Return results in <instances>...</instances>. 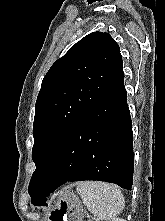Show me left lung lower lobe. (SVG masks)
Returning a JSON list of instances; mask_svg holds the SVG:
<instances>
[{
	"mask_svg": "<svg viewBox=\"0 0 165 221\" xmlns=\"http://www.w3.org/2000/svg\"><path fill=\"white\" fill-rule=\"evenodd\" d=\"M133 167L132 122L122 70L63 140L32 204L47 206L46 197L68 181L98 180L131 190Z\"/></svg>",
	"mask_w": 165,
	"mask_h": 221,
	"instance_id": "left-lung-lower-lobe-1",
	"label": "left lung lower lobe"
}]
</instances>
